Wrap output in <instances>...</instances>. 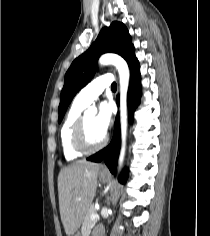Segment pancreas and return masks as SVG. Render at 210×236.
<instances>
[{
  "instance_id": "1",
  "label": "pancreas",
  "mask_w": 210,
  "mask_h": 236,
  "mask_svg": "<svg viewBox=\"0 0 210 236\" xmlns=\"http://www.w3.org/2000/svg\"><path fill=\"white\" fill-rule=\"evenodd\" d=\"M92 214H96V208L94 205H91L84 218H83V223H82V228H81V232L83 234V236H86V234L90 233L91 229L94 227L96 221L91 219V215Z\"/></svg>"
}]
</instances>
